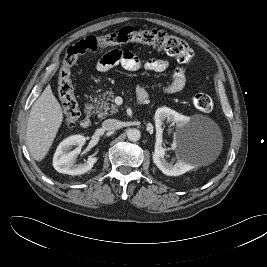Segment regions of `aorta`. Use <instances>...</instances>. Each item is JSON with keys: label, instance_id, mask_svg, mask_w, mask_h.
<instances>
[{"label": "aorta", "instance_id": "762f6f07", "mask_svg": "<svg viewBox=\"0 0 267 267\" xmlns=\"http://www.w3.org/2000/svg\"><path fill=\"white\" fill-rule=\"evenodd\" d=\"M127 137L130 141L132 142H136L140 139L141 137V133L138 129H130L128 132H127Z\"/></svg>", "mask_w": 267, "mask_h": 267}]
</instances>
